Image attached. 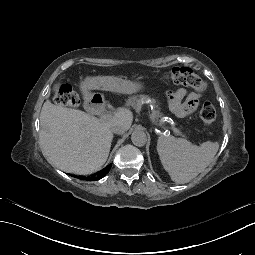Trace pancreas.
Segmentation results:
<instances>
[{
	"mask_svg": "<svg viewBox=\"0 0 255 255\" xmlns=\"http://www.w3.org/2000/svg\"><path fill=\"white\" fill-rule=\"evenodd\" d=\"M144 99H145V97L143 95H141L140 97L135 96L130 101L127 102V106H132V107L140 110Z\"/></svg>",
	"mask_w": 255,
	"mask_h": 255,
	"instance_id": "1",
	"label": "pancreas"
}]
</instances>
